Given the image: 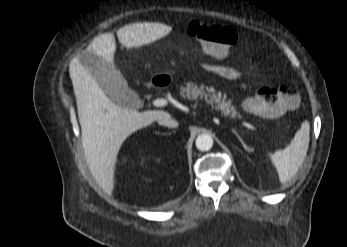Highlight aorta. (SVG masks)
Segmentation results:
<instances>
[{
  "label": "aorta",
  "mask_w": 347,
  "mask_h": 247,
  "mask_svg": "<svg viewBox=\"0 0 347 247\" xmlns=\"http://www.w3.org/2000/svg\"><path fill=\"white\" fill-rule=\"evenodd\" d=\"M213 146V139L209 134H201L196 139V147L200 151H208Z\"/></svg>",
  "instance_id": "obj_1"
}]
</instances>
